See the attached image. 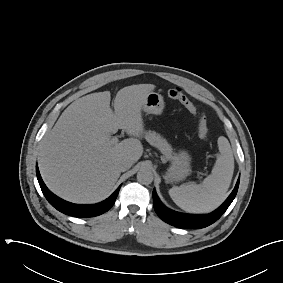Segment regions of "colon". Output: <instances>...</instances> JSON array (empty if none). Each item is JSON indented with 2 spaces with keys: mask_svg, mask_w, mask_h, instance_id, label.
Returning a JSON list of instances; mask_svg holds the SVG:
<instances>
[{
  "mask_svg": "<svg viewBox=\"0 0 283 283\" xmlns=\"http://www.w3.org/2000/svg\"><path fill=\"white\" fill-rule=\"evenodd\" d=\"M168 96L171 99L180 102L191 114L196 115L198 118L197 130L202 139H207L209 130L207 121L204 114L198 111L197 106L183 93L179 88H172L168 91Z\"/></svg>",
  "mask_w": 283,
  "mask_h": 283,
  "instance_id": "5ec220e1",
  "label": "colon"
}]
</instances>
